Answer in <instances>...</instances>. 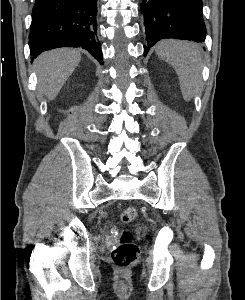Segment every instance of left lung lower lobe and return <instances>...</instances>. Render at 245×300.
<instances>
[{
	"label": "left lung lower lobe",
	"mask_w": 245,
	"mask_h": 300,
	"mask_svg": "<svg viewBox=\"0 0 245 300\" xmlns=\"http://www.w3.org/2000/svg\"><path fill=\"white\" fill-rule=\"evenodd\" d=\"M141 13L148 42L144 56L163 38L205 40L202 0H142Z\"/></svg>",
	"instance_id": "left-lung-lower-lobe-1"
}]
</instances>
